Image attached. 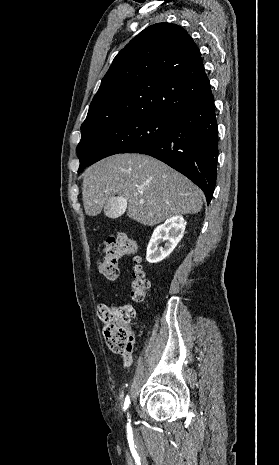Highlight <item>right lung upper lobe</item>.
Masks as SVG:
<instances>
[{"label":"right lung upper lobe","instance_id":"obj_1","mask_svg":"<svg viewBox=\"0 0 279 465\" xmlns=\"http://www.w3.org/2000/svg\"><path fill=\"white\" fill-rule=\"evenodd\" d=\"M197 45L179 25L158 23L114 58L81 130L135 116L172 118L210 93Z\"/></svg>","mask_w":279,"mask_h":465}]
</instances>
